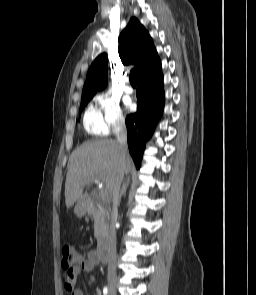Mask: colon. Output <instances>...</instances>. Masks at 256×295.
<instances>
[{
  "label": "colon",
  "mask_w": 256,
  "mask_h": 295,
  "mask_svg": "<svg viewBox=\"0 0 256 295\" xmlns=\"http://www.w3.org/2000/svg\"><path fill=\"white\" fill-rule=\"evenodd\" d=\"M81 255L70 245L62 247V268L66 271L74 270L81 262Z\"/></svg>",
  "instance_id": "colon-1"
}]
</instances>
